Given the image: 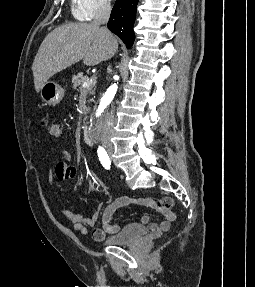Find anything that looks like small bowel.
Here are the masks:
<instances>
[{
	"instance_id": "1",
	"label": "small bowel",
	"mask_w": 255,
	"mask_h": 287,
	"mask_svg": "<svg viewBox=\"0 0 255 287\" xmlns=\"http://www.w3.org/2000/svg\"><path fill=\"white\" fill-rule=\"evenodd\" d=\"M61 157L62 161L56 164L54 172L49 175L48 180L50 183H53L55 179L66 181L71 180L76 176V169L67 164V161L71 158L70 152L63 150L61 152ZM132 203L153 208L163 216V220L159 224L150 223V218L147 215L142 216L140 219L142 224H148L149 231L155 235H161L168 231L171 224L176 219V215L172 211L174 200L170 197H164L160 200H153L150 198L119 197L104 208L99 206L91 216H85L70 210H62V214L72 224L74 231L82 235H86L88 233L86 226L94 227L98 220L101 219L102 226L94 228L92 231V237L99 241L106 235L113 234L118 230V226L112 223L114 212L118 208Z\"/></svg>"
}]
</instances>
